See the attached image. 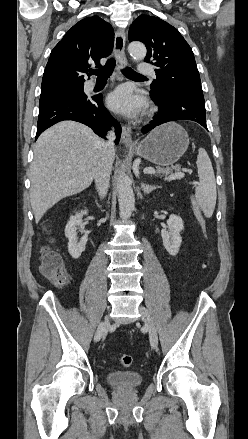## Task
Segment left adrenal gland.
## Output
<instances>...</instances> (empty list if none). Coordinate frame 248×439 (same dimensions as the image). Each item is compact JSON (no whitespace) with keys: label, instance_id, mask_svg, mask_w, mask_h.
I'll list each match as a JSON object with an SVG mask.
<instances>
[{"label":"left adrenal gland","instance_id":"left-adrenal-gland-1","mask_svg":"<svg viewBox=\"0 0 248 439\" xmlns=\"http://www.w3.org/2000/svg\"><path fill=\"white\" fill-rule=\"evenodd\" d=\"M156 188H158V187L155 186V185H149V184L141 183V189H142V191L145 194H149L150 192H152Z\"/></svg>","mask_w":248,"mask_h":439}]
</instances>
